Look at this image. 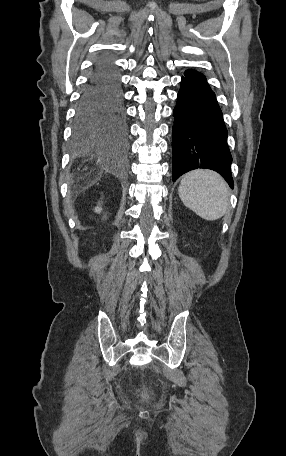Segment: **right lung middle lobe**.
<instances>
[{
	"label": "right lung middle lobe",
	"mask_w": 286,
	"mask_h": 456,
	"mask_svg": "<svg viewBox=\"0 0 286 456\" xmlns=\"http://www.w3.org/2000/svg\"><path fill=\"white\" fill-rule=\"evenodd\" d=\"M113 130L116 131L121 135V138L124 139L126 136V125L125 124H119V125H114V126H108L100 123H95L92 122L90 124H87L80 129H78V132L80 134H92V133H99L103 131H109Z\"/></svg>",
	"instance_id": "right-lung-middle-lobe-1"
}]
</instances>
